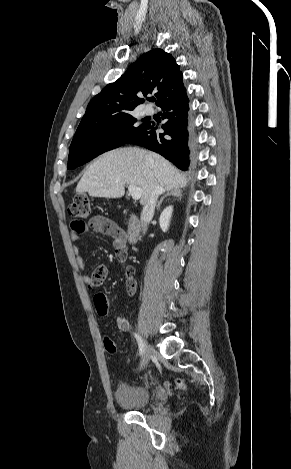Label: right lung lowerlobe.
Returning a JSON list of instances; mask_svg holds the SVG:
<instances>
[{"mask_svg": "<svg viewBox=\"0 0 291 469\" xmlns=\"http://www.w3.org/2000/svg\"><path fill=\"white\" fill-rule=\"evenodd\" d=\"M158 106L163 110L162 119L166 120L165 124L158 127L154 122L148 121L132 133L125 143L157 152L185 171L190 165L189 155L192 150L189 99L185 88L162 100ZM160 128L164 132H159Z\"/></svg>", "mask_w": 291, "mask_h": 469, "instance_id": "98d812e1", "label": "right lung lower lobe"}]
</instances>
